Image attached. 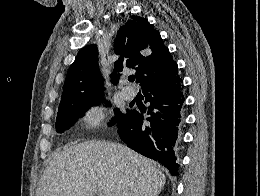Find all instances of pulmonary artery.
Segmentation results:
<instances>
[{"label":"pulmonary artery","mask_w":260,"mask_h":196,"mask_svg":"<svg viewBox=\"0 0 260 196\" xmlns=\"http://www.w3.org/2000/svg\"><path fill=\"white\" fill-rule=\"evenodd\" d=\"M136 90L131 86H126L122 89L121 95L125 100L131 101L136 97Z\"/></svg>","instance_id":"obj_1"}]
</instances>
